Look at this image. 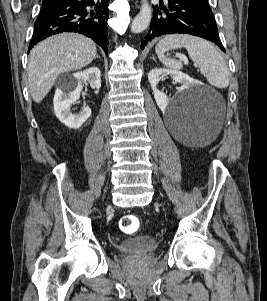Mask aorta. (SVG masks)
Here are the masks:
<instances>
[{"label":"aorta","mask_w":267,"mask_h":301,"mask_svg":"<svg viewBox=\"0 0 267 301\" xmlns=\"http://www.w3.org/2000/svg\"><path fill=\"white\" fill-rule=\"evenodd\" d=\"M152 18V10L147 0H142V5L140 12L134 18L131 23V32L132 33H141L144 31L150 24Z\"/></svg>","instance_id":"aorta-1"}]
</instances>
